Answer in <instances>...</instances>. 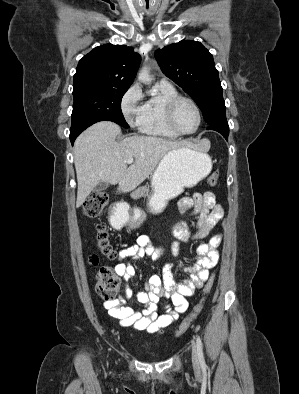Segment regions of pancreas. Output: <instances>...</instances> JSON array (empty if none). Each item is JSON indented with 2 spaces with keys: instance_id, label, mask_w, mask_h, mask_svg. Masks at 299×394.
<instances>
[{
  "instance_id": "1",
  "label": "pancreas",
  "mask_w": 299,
  "mask_h": 394,
  "mask_svg": "<svg viewBox=\"0 0 299 394\" xmlns=\"http://www.w3.org/2000/svg\"><path fill=\"white\" fill-rule=\"evenodd\" d=\"M148 193H149V189H148V187H142V188H140L136 193H134L133 195H136V194H138V195H141V196H145V195H148Z\"/></svg>"
}]
</instances>
